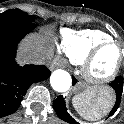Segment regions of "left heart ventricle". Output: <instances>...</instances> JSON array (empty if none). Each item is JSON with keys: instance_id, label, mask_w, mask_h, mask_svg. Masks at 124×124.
Returning a JSON list of instances; mask_svg holds the SVG:
<instances>
[{"instance_id": "b2bd125f", "label": "left heart ventricle", "mask_w": 124, "mask_h": 124, "mask_svg": "<svg viewBox=\"0 0 124 124\" xmlns=\"http://www.w3.org/2000/svg\"><path fill=\"white\" fill-rule=\"evenodd\" d=\"M119 60V51L115 46L103 49L92 65V73L96 77H105L110 74Z\"/></svg>"}]
</instances>
